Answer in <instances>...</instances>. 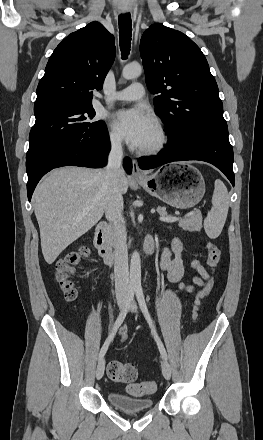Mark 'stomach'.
<instances>
[{"instance_id":"stomach-1","label":"stomach","mask_w":263,"mask_h":440,"mask_svg":"<svg viewBox=\"0 0 263 440\" xmlns=\"http://www.w3.org/2000/svg\"><path fill=\"white\" fill-rule=\"evenodd\" d=\"M169 169H175L176 172L167 173V168L139 180L138 183L150 195L172 207L178 209L194 207L205 193L202 174L192 166H188L187 170L179 166H171Z\"/></svg>"}]
</instances>
